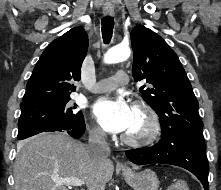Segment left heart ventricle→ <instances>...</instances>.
Listing matches in <instances>:
<instances>
[{"label":"left heart ventricle","instance_id":"1","mask_svg":"<svg viewBox=\"0 0 221 190\" xmlns=\"http://www.w3.org/2000/svg\"><path fill=\"white\" fill-rule=\"evenodd\" d=\"M146 125L147 121L145 116L141 112L134 109L132 123L125 134L133 137L142 136L145 133Z\"/></svg>","mask_w":221,"mask_h":190}]
</instances>
